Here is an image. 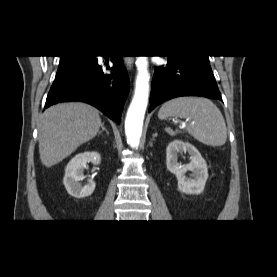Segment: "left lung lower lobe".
<instances>
[{
    "mask_svg": "<svg viewBox=\"0 0 277 277\" xmlns=\"http://www.w3.org/2000/svg\"><path fill=\"white\" fill-rule=\"evenodd\" d=\"M179 96H202L222 100L208 56H168L166 66L155 68L150 110Z\"/></svg>",
    "mask_w": 277,
    "mask_h": 277,
    "instance_id": "obj_1",
    "label": "left lung lower lobe"
}]
</instances>
